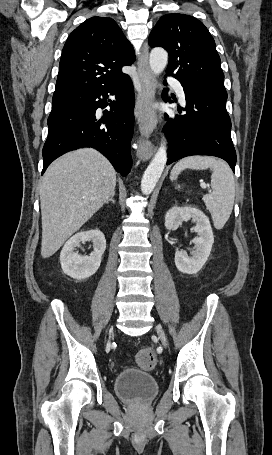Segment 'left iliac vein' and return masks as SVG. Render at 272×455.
Wrapping results in <instances>:
<instances>
[{
	"mask_svg": "<svg viewBox=\"0 0 272 455\" xmlns=\"http://www.w3.org/2000/svg\"><path fill=\"white\" fill-rule=\"evenodd\" d=\"M155 330H156V333H157L160 341L162 342L163 346L166 347L167 339H166V336H165L163 330L160 327H156Z\"/></svg>",
	"mask_w": 272,
	"mask_h": 455,
	"instance_id": "left-iliac-vein-1",
	"label": "left iliac vein"
}]
</instances>
